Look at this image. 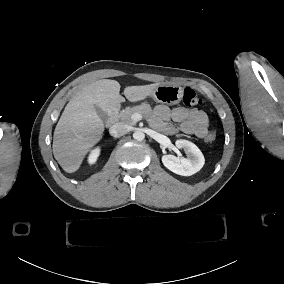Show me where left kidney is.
Returning a JSON list of instances; mask_svg holds the SVG:
<instances>
[{"instance_id":"left-kidney-1","label":"left kidney","mask_w":284,"mask_h":284,"mask_svg":"<svg viewBox=\"0 0 284 284\" xmlns=\"http://www.w3.org/2000/svg\"><path fill=\"white\" fill-rule=\"evenodd\" d=\"M175 145L179 149H184L188 157L177 158L174 155L162 156L164 166L170 171L182 176H191L204 166L205 158L194 143L179 139L176 140Z\"/></svg>"}]
</instances>
